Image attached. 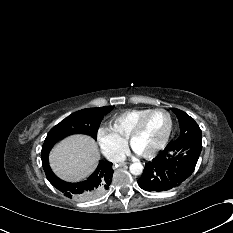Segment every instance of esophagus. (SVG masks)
Wrapping results in <instances>:
<instances>
[{
	"label": "esophagus",
	"instance_id": "34e87169",
	"mask_svg": "<svg viewBox=\"0 0 233 233\" xmlns=\"http://www.w3.org/2000/svg\"><path fill=\"white\" fill-rule=\"evenodd\" d=\"M126 164H127V162H120L119 163L120 166H123V165H126Z\"/></svg>",
	"mask_w": 233,
	"mask_h": 233
}]
</instances>
